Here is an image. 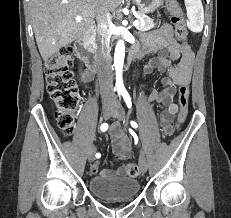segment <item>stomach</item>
I'll return each instance as SVG.
<instances>
[{"mask_svg":"<svg viewBox=\"0 0 231 218\" xmlns=\"http://www.w3.org/2000/svg\"><path fill=\"white\" fill-rule=\"evenodd\" d=\"M164 0H133L142 13H152L157 10Z\"/></svg>","mask_w":231,"mask_h":218,"instance_id":"1","label":"stomach"}]
</instances>
